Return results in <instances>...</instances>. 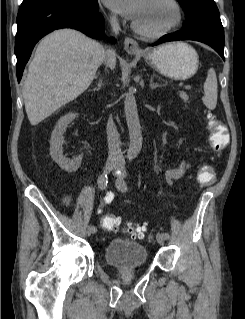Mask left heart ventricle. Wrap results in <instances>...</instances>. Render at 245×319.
<instances>
[{
	"label": "left heart ventricle",
	"mask_w": 245,
	"mask_h": 319,
	"mask_svg": "<svg viewBox=\"0 0 245 319\" xmlns=\"http://www.w3.org/2000/svg\"><path fill=\"white\" fill-rule=\"evenodd\" d=\"M175 18V11L167 0H145L135 20L141 27L154 30L169 25Z\"/></svg>",
	"instance_id": "1"
}]
</instances>
